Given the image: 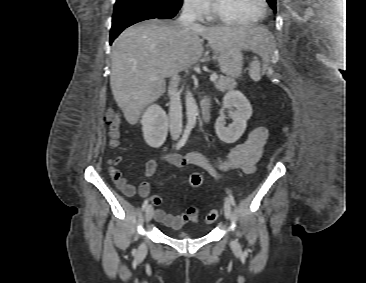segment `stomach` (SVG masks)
I'll list each match as a JSON object with an SVG mask.
<instances>
[{
  "mask_svg": "<svg viewBox=\"0 0 366 283\" xmlns=\"http://www.w3.org/2000/svg\"><path fill=\"white\" fill-rule=\"evenodd\" d=\"M217 59L221 71L227 76L237 77L241 73L243 55L239 45L234 44L231 48L221 49Z\"/></svg>",
  "mask_w": 366,
  "mask_h": 283,
  "instance_id": "1",
  "label": "stomach"
}]
</instances>
